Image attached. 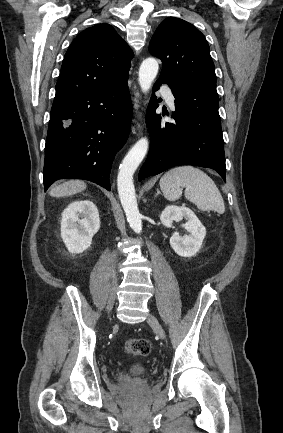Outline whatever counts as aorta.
Segmentation results:
<instances>
[{"label": "aorta", "mask_w": 283, "mask_h": 433, "mask_svg": "<svg viewBox=\"0 0 283 433\" xmlns=\"http://www.w3.org/2000/svg\"><path fill=\"white\" fill-rule=\"evenodd\" d=\"M158 70L159 65L156 59L147 58L142 62L139 68V85L144 93L151 88ZM148 145L146 137L139 139L135 143L123 159L117 177V188L122 207L130 227L136 233H141L142 221L137 205L133 174L144 159L148 151Z\"/></svg>", "instance_id": "aorta-1"}]
</instances>
